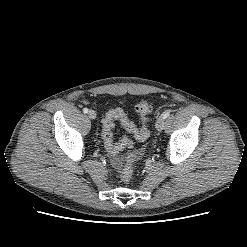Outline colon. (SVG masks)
I'll list each match as a JSON object with an SVG mask.
<instances>
[{
  "label": "colon",
  "mask_w": 247,
  "mask_h": 247,
  "mask_svg": "<svg viewBox=\"0 0 247 247\" xmlns=\"http://www.w3.org/2000/svg\"><path fill=\"white\" fill-rule=\"evenodd\" d=\"M135 110L142 121L140 128L135 127L121 108L112 109L105 115L102 121V138L111 155H118L124 148H132L133 142L130 135H133L139 141L148 139L150 132L147 127V121L148 115L152 111V106L147 100H142L136 105ZM116 120L121 123L126 131L118 143L113 141V127ZM136 157V153L133 151L129 152L125 157L121 170V180L125 184H131L136 180L134 172Z\"/></svg>",
  "instance_id": "colon-1"
}]
</instances>
